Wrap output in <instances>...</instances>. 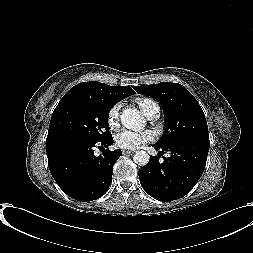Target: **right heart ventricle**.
<instances>
[{"mask_svg":"<svg viewBox=\"0 0 253 253\" xmlns=\"http://www.w3.org/2000/svg\"><path fill=\"white\" fill-rule=\"evenodd\" d=\"M154 104L155 102L151 99H141L137 101V105L146 116L149 114Z\"/></svg>","mask_w":253,"mask_h":253,"instance_id":"e07e8e85","label":"right heart ventricle"}]
</instances>
